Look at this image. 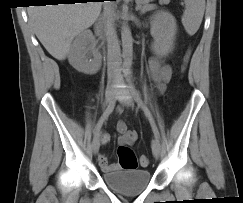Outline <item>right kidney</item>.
I'll use <instances>...</instances> for the list:
<instances>
[{
  "mask_svg": "<svg viewBox=\"0 0 243 203\" xmlns=\"http://www.w3.org/2000/svg\"><path fill=\"white\" fill-rule=\"evenodd\" d=\"M68 59L77 71L84 74H95L100 69L102 56L95 49V38L90 30H84L77 35L70 48Z\"/></svg>",
  "mask_w": 243,
  "mask_h": 203,
  "instance_id": "ca27d5eb",
  "label": "right kidney"
}]
</instances>
